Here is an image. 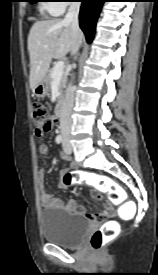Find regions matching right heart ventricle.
Here are the masks:
<instances>
[{
  "label": "right heart ventricle",
  "mask_w": 158,
  "mask_h": 275,
  "mask_svg": "<svg viewBox=\"0 0 158 275\" xmlns=\"http://www.w3.org/2000/svg\"><path fill=\"white\" fill-rule=\"evenodd\" d=\"M42 7H43V9L47 10L52 15H59L57 12L51 10V4L50 3L44 4Z\"/></svg>",
  "instance_id": "1"
}]
</instances>
